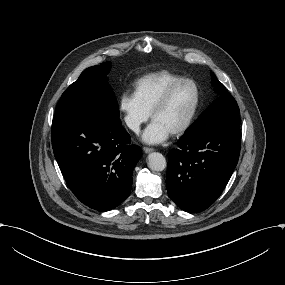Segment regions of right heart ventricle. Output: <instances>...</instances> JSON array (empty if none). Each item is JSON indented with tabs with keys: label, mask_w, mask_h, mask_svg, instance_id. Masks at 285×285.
I'll list each match as a JSON object with an SVG mask.
<instances>
[{
	"label": "right heart ventricle",
	"mask_w": 285,
	"mask_h": 285,
	"mask_svg": "<svg viewBox=\"0 0 285 285\" xmlns=\"http://www.w3.org/2000/svg\"><path fill=\"white\" fill-rule=\"evenodd\" d=\"M182 78L181 75L167 70L149 73L136 82L135 91L143 105L151 112L164 91Z\"/></svg>",
	"instance_id": "obj_1"
}]
</instances>
